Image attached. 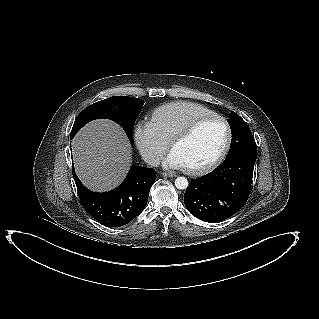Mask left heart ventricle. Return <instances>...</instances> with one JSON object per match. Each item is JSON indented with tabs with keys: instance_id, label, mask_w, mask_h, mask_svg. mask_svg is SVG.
<instances>
[{
	"instance_id": "b2bd125f",
	"label": "left heart ventricle",
	"mask_w": 319,
	"mask_h": 319,
	"mask_svg": "<svg viewBox=\"0 0 319 319\" xmlns=\"http://www.w3.org/2000/svg\"><path fill=\"white\" fill-rule=\"evenodd\" d=\"M226 138L224 124L211 119L200 124L185 140L175 145L173 152L184 167H199L211 162L221 150Z\"/></svg>"
}]
</instances>
